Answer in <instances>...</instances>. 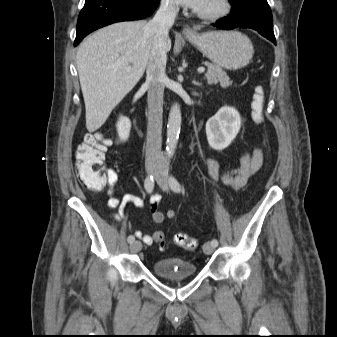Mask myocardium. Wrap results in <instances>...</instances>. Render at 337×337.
<instances>
[{
    "mask_svg": "<svg viewBox=\"0 0 337 337\" xmlns=\"http://www.w3.org/2000/svg\"><path fill=\"white\" fill-rule=\"evenodd\" d=\"M232 10L231 0H216V7L209 11H197L199 18L208 21H218L227 17Z\"/></svg>",
    "mask_w": 337,
    "mask_h": 337,
    "instance_id": "obj_1",
    "label": "myocardium"
}]
</instances>
